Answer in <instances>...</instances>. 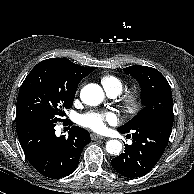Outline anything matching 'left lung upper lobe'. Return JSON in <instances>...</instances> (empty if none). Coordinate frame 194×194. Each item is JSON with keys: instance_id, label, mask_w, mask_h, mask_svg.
Masks as SVG:
<instances>
[{"instance_id": "5c2ea615", "label": "left lung upper lobe", "mask_w": 194, "mask_h": 194, "mask_svg": "<svg viewBox=\"0 0 194 194\" xmlns=\"http://www.w3.org/2000/svg\"><path fill=\"white\" fill-rule=\"evenodd\" d=\"M123 71L139 82L141 102L144 108L132 120L120 126L119 130L130 131L138 121L146 118L173 116L171 88L158 70L147 66L133 65L124 68Z\"/></svg>"}]
</instances>
